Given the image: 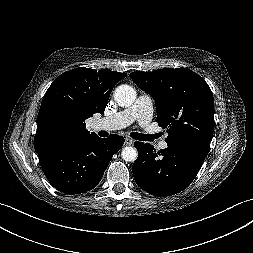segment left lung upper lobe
Listing matches in <instances>:
<instances>
[{
	"label": "left lung upper lobe",
	"instance_id": "obj_1",
	"mask_svg": "<svg viewBox=\"0 0 253 253\" xmlns=\"http://www.w3.org/2000/svg\"><path fill=\"white\" fill-rule=\"evenodd\" d=\"M130 76L155 100L156 120L167 130V145H210L214 131V99L202 77L187 68L137 71Z\"/></svg>",
	"mask_w": 253,
	"mask_h": 253
}]
</instances>
